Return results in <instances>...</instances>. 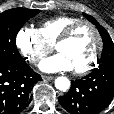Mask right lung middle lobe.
Wrapping results in <instances>:
<instances>
[{
    "label": "right lung middle lobe",
    "instance_id": "dd1d6c3e",
    "mask_svg": "<svg viewBox=\"0 0 114 114\" xmlns=\"http://www.w3.org/2000/svg\"><path fill=\"white\" fill-rule=\"evenodd\" d=\"M39 10L14 8L0 14V62L15 63L24 60L15 40L18 31Z\"/></svg>",
    "mask_w": 114,
    "mask_h": 114
}]
</instances>
